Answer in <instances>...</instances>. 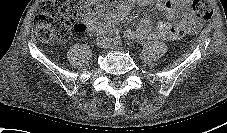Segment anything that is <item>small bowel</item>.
Wrapping results in <instances>:
<instances>
[{
	"label": "small bowel",
	"instance_id": "obj_1",
	"mask_svg": "<svg viewBox=\"0 0 227 133\" xmlns=\"http://www.w3.org/2000/svg\"><path fill=\"white\" fill-rule=\"evenodd\" d=\"M133 3L144 5L152 0H132ZM188 0H158L157 7L165 14L167 22H161L156 28L149 27V21L145 20L135 29L125 31L129 39L139 40H174L180 39L186 34H192L199 30L200 21L194 12L187 7ZM130 3H125L112 17L113 22L122 19L129 11ZM99 33L104 30H97Z\"/></svg>",
	"mask_w": 227,
	"mask_h": 133
}]
</instances>
